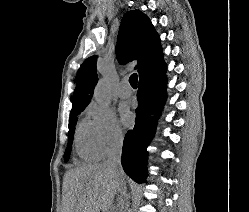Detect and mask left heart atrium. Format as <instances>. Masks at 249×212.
<instances>
[{"mask_svg":"<svg viewBox=\"0 0 249 212\" xmlns=\"http://www.w3.org/2000/svg\"><path fill=\"white\" fill-rule=\"evenodd\" d=\"M120 121L125 128H129L133 125L134 117L133 114L127 109L120 110Z\"/></svg>","mask_w":249,"mask_h":212,"instance_id":"39dd6f15","label":"left heart atrium"}]
</instances>
